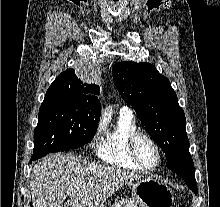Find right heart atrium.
<instances>
[{"label": "right heart atrium", "mask_w": 220, "mask_h": 207, "mask_svg": "<svg viewBox=\"0 0 220 207\" xmlns=\"http://www.w3.org/2000/svg\"><path fill=\"white\" fill-rule=\"evenodd\" d=\"M105 131V121L104 119H100L99 122L97 123L93 138H92V144L95 146L97 145L101 139L102 135Z\"/></svg>", "instance_id": "d8ad5b80"}]
</instances>
